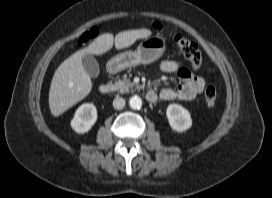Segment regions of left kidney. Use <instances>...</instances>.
Listing matches in <instances>:
<instances>
[{
	"label": "left kidney",
	"instance_id": "obj_1",
	"mask_svg": "<svg viewBox=\"0 0 272 198\" xmlns=\"http://www.w3.org/2000/svg\"><path fill=\"white\" fill-rule=\"evenodd\" d=\"M170 127L177 132H184L192 126L189 111L179 104H170L166 109Z\"/></svg>",
	"mask_w": 272,
	"mask_h": 198
}]
</instances>
